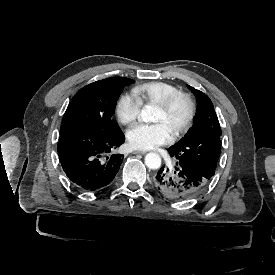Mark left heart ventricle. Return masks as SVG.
Wrapping results in <instances>:
<instances>
[{"mask_svg":"<svg viewBox=\"0 0 275 275\" xmlns=\"http://www.w3.org/2000/svg\"><path fill=\"white\" fill-rule=\"evenodd\" d=\"M187 106L183 100H178L169 110L155 107L153 121L163 123L173 134L186 120Z\"/></svg>","mask_w":275,"mask_h":275,"instance_id":"left-heart-ventricle-1","label":"left heart ventricle"}]
</instances>
